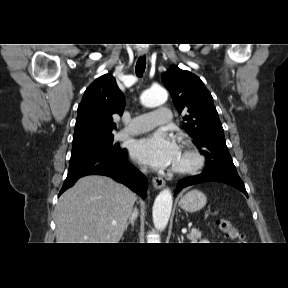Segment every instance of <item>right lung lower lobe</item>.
I'll return each instance as SVG.
<instances>
[{"label": "right lung lower lobe", "mask_w": 288, "mask_h": 288, "mask_svg": "<svg viewBox=\"0 0 288 288\" xmlns=\"http://www.w3.org/2000/svg\"><path fill=\"white\" fill-rule=\"evenodd\" d=\"M91 174L112 177L114 180L131 188L142 198L146 197L147 179L127 161L126 149L117 156L94 155L70 163L67 178L59 195L73 186L80 177Z\"/></svg>", "instance_id": "98d812e1"}]
</instances>
